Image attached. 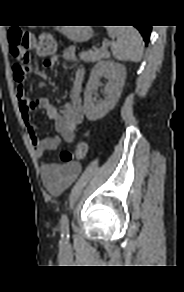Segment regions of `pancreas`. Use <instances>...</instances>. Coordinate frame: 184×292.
<instances>
[{"label": "pancreas", "mask_w": 184, "mask_h": 292, "mask_svg": "<svg viewBox=\"0 0 184 292\" xmlns=\"http://www.w3.org/2000/svg\"><path fill=\"white\" fill-rule=\"evenodd\" d=\"M110 54L107 50L96 49L83 51L79 54L81 60L85 62H97L101 59L109 58Z\"/></svg>", "instance_id": "pancreas-1"}]
</instances>
